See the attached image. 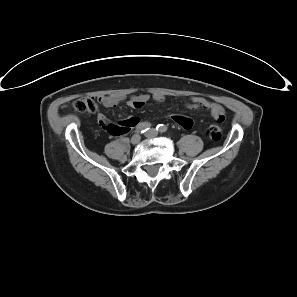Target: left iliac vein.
I'll use <instances>...</instances> for the list:
<instances>
[{
    "mask_svg": "<svg viewBox=\"0 0 297 297\" xmlns=\"http://www.w3.org/2000/svg\"><path fill=\"white\" fill-rule=\"evenodd\" d=\"M156 135H157V132L154 129H151L145 133V136L148 138L155 137Z\"/></svg>",
    "mask_w": 297,
    "mask_h": 297,
    "instance_id": "4c4485c4",
    "label": "left iliac vein"
}]
</instances>
